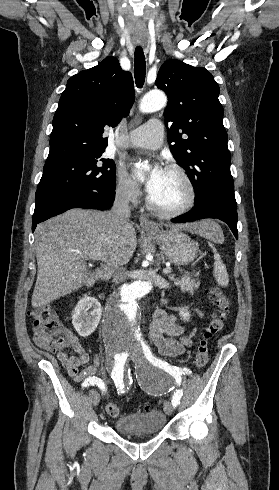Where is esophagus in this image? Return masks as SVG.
<instances>
[{
    "label": "esophagus",
    "mask_w": 279,
    "mask_h": 490,
    "mask_svg": "<svg viewBox=\"0 0 279 490\" xmlns=\"http://www.w3.org/2000/svg\"><path fill=\"white\" fill-rule=\"evenodd\" d=\"M140 225L143 228L151 229V230H156L158 228V225L155 222L150 221L146 215H140L139 217Z\"/></svg>",
    "instance_id": "obj_1"
}]
</instances>
